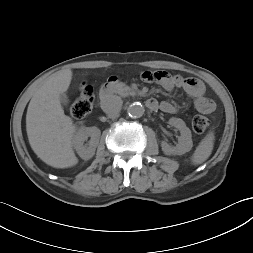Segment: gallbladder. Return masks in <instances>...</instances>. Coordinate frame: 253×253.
Wrapping results in <instances>:
<instances>
[{
	"mask_svg": "<svg viewBox=\"0 0 253 253\" xmlns=\"http://www.w3.org/2000/svg\"><path fill=\"white\" fill-rule=\"evenodd\" d=\"M59 101H60V103L62 104V105H67L68 104V97H67V95L65 94V93H62V94H60V96H59Z\"/></svg>",
	"mask_w": 253,
	"mask_h": 253,
	"instance_id": "bac80fb5",
	"label": "gallbladder"
}]
</instances>
